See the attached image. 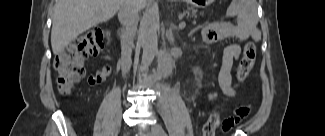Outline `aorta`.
I'll return each mask as SVG.
<instances>
[{"mask_svg":"<svg viewBox=\"0 0 325 136\" xmlns=\"http://www.w3.org/2000/svg\"><path fill=\"white\" fill-rule=\"evenodd\" d=\"M157 10L148 6L143 14L141 22V39H142V67L147 69L154 60L158 51V31Z\"/></svg>","mask_w":325,"mask_h":136,"instance_id":"obj_1","label":"aorta"}]
</instances>
